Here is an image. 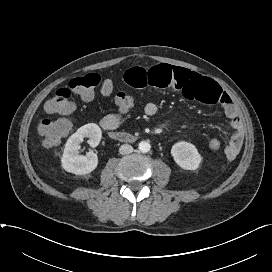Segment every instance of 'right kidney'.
Returning <instances> with one entry per match:
<instances>
[{
  "mask_svg": "<svg viewBox=\"0 0 272 272\" xmlns=\"http://www.w3.org/2000/svg\"><path fill=\"white\" fill-rule=\"evenodd\" d=\"M84 138H89L88 144L96 147L102 138V131L95 123H89L80 127L67 140L63 156L61 158L62 167L70 173L85 175L96 169L98 157L93 151H89L85 156L80 155L78 150Z\"/></svg>",
  "mask_w": 272,
  "mask_h": 272,
  "instance_id": "1",
  "label": "right kidney"
}]
</instances>
